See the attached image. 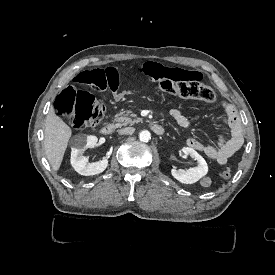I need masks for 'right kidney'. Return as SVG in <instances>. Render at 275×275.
I'll use <instances>...</instances> for the list:
<instances>
[{"instance_id": "obj_1", "label": "right kidney", "mask_w": 275, "mask_h": 275, "mask_svg": "<svg viewBox=\"0 0 275 275\" xmlns=\"http://www.w3.org/2000/svg\"><path fill=\"white\" fill-rule=\"evenodd\" d=\"M98 138L93 135L77 134L70 141L71 165L81 175L90 176L102 173L108 166V160L102 159L98 162L88 163V158L83 153L88 148L97 144Z\"/></svg>"}]
</instances>
